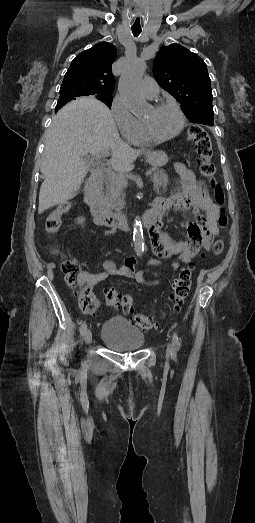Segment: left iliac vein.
<instances>
[{
	"label": "left iliac vein",
	"mask_w": 255,
	"mask_h": 523,
	"mask_svg": "<svg viewBox=\"0 0 255 523\" xmlns=\"http://www.w3.org/2000/svg\"><path fill=\"white\" fill-rule=\"evenodd\" d=\"M172 355V347L170 344L167 345V357H170Z\"/></svg>",
	"instance_id": "4c4485c4"
}]
</instances>
